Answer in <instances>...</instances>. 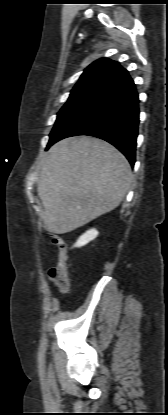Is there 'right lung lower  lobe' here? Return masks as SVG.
Here are the masks:
<instances>
[{
	"mask_svg": "<svg viewBox=\"0 0 168 415\" xmlns=\"http://www.w3.org/2000/svg\"><path fill=\"white\" fill-rule=\"evenodd\" d=\"M139 98L129 75L108 87L74 114L49 140L47 148L70 136L88 135L114 145L135 163Z\"/></svg>",
	"mask_w": 168,
	"mask_h": 415,
	"instance_id": "right-lung-lower-lobe-1",
	"label": "right lung lower lobe"
}]
</instances>
